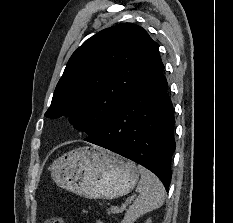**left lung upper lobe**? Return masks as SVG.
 Segmentation results:
<instances>
[{
    "label": "left lung upper lobe",
    "mask_w": 233,
    "mask_h": 223,
    "mask_svg": "<svg viewBox=\"0 0 233 223\" xmlns=\"http://www.w3.org/2000/svg\"><path fill=\"white\" fill-rule=\"evenodd\" d=\"M158 50L159 44L132 23L98 32L72 54L45 116H69L91 140L136 90Z\"/></svg>",
    "instance_id": "obj_1"
}]
</instances>
